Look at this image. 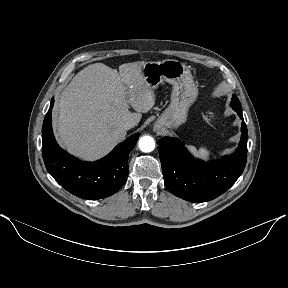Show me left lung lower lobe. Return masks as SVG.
Here are the masks:
<instances>
[{"instance_id": "obj_1", "label": "left lung lower lobe", "mask_w": 288, "mask_h": 288, "mask_svg": "<svg viewBox=\"0 0 288 288\" xmlns=\"http://www.w3.org/2000/svg\"><path fill=\"white\" fill-rule=\"evenodd\" d=\"M243 120L242 111L234 109ZM239 147L218 161L193 158L175 138H161L157 144L167 189L190 202H206L227 191L242 174L247 160V127L242 122Z\"/></svg>"}]
</instances>
